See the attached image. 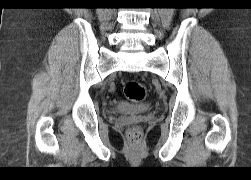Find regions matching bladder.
<instances>
[{
    "label": "bladder",
    "mask_w": 251,
    "mask_h": 180,
    "mask_svg": "<svg viewBox=\"0 0 251 180\" xmlns=\"http://www.w3.org/2000/svg\"><path fill=\"white\" fill-rule=\"evenodd\" d=\"M150 109V105L148 104H129V103H119L116 105L114 111L118 113L124 114H138L142 112H146Z\"/></svg>",
    "instance_id": "bladder-1"
}]
</instances>
